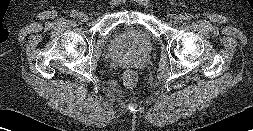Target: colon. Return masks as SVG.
I'll use <instances>...</instances> for the list:
<instances>
[{
	"mask_svg": "<svg viewBox=\"0 0 253 131\" xmlns=\"http://www.w3.org/2000/svg\"><path fill=\"white\" fill-rule=\"evenodd\" d=\"M137 82V74L131 70L127 69L124 73V83L127 87L133 88Z\"/></svg>",
	"mask_w": 253,
	"mask_h": 131,
	"instance_id": "colon-1",
	"label": "colon"
}]
</instances>
